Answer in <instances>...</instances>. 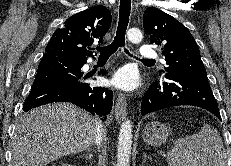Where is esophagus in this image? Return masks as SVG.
I'll return each instance as SVG.
<instances>
[{
	"label": "esophagus",
	"mask_w": 231,
	"mask_h": 166,
	"mask_svg": "<svg viewBox=\"0 0 231 166\" xmlns=\"http://www.w3.org/2000/svg\"><path fill=\"white\" fill-rule=\"evenodd\" d=\"M126 109H127L126 99L124 95L120 93L117 95L115 110H114L115 119L117 120L118 123H121L124 120L126 116Z\"/></svg>",
	"instance_id": "esophagus-1"
}]
</instances>
